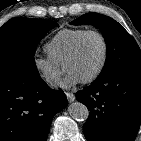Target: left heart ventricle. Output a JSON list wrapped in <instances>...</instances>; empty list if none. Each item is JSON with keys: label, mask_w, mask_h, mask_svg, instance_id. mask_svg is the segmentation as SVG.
<instances>
[{"label": "left heart ventricle", "mask_w": 141, "mask_h": 141, "mask_svg": "<svg viewBox=\"0 0 141 141\" xmlns=\"http://www.w3.org/2000/svg\"><path fill=\"white\" fill-rule=\"evenodd\" d=\"M103 56V45L96 35H89L81 49L72 61L66 65V70L76 73L82 80L90 77L99 68Z\"/></svg>", "instance_id": "left-heart-ventricle-1"}]
</instances>
